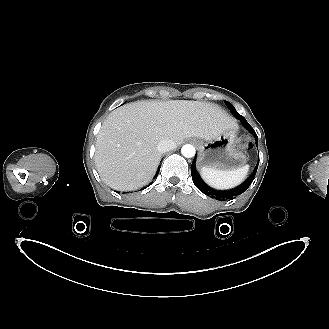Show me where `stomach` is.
<instances>
[{
  "label": "stomach",
  "mask_w": 329,
  "mask_h": 329,
  "mask_svg": "<svg viewBox=\"0 0 329 329\" xmlns=\"http://www.w3.org/2000/svg\"><path fill=\"white\" fill-rule=\"evenodd\" d=\"M197 164L201 168L230 171L246 165L248 157L238 137V126L201 142Z\"/></svg>",
  "instance_id": "stomach-1"
}]
</instances>
